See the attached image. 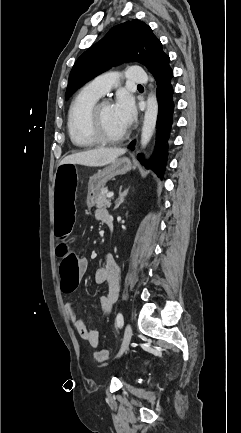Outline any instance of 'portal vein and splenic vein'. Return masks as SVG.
Listing matches in <instances>:
<instances>
[{"mask_svg":"<svg viewBox=\"0 0 241 433\" xmlns=\"http://www.w3.org/2000/svg\"><path fill=\"white\" fill-rule=\"evenodd\" d=\"M113 195H114L113 192H109V193L107 194V198H111V197H113Z\"/></svg>","mask_w":241,"mask_h":433,"instance_id":"1","label":"portal vein and splenic vein"}]
</instances>
